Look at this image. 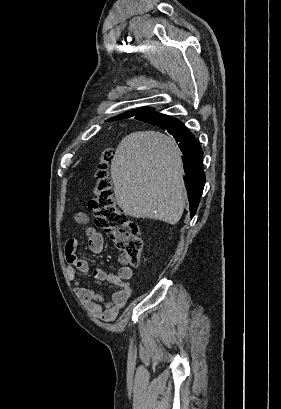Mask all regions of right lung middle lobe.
Wrapping results in <instances>:
<instances>
[{
  "instance_id": "1",
  "label": "right lung middle lobe",
  "mask_w": 281,
  "mask_h": 409,
  "mask_svg": "<svg viewBox=\"0 0 281 409\" xmlns=\"http://www.w3.org/2000/svg\"><path fill=\"white\" fill-rule=\"evenodd\" d=\"M146 122L152 125H155V126H159L162 129H164L167 126L178 122V120L175 118L168 117V116H160V117L149 119Z\"/></svg>"
}]
</instances>
